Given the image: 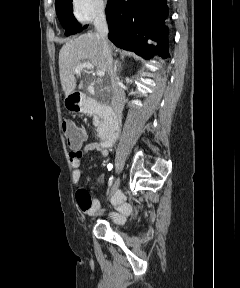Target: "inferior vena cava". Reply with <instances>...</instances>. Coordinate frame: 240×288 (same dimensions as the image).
Masks as SVG:
<instances>
[{"instance_id": "obj_1", "label": "inferior vena cava", "mask_w": 240, "mask_h": 288, "mask_svg": "<svg viewBox=\"0 0 240 288\" xmlns=\"http://www.w3.org/2000/svg\"><path fill=\"white\" fill-rule=\"evenodd\" d=\"M94 27L98 37L102 42L103 52L108 66V75L110 77L113 89V96H112L113 114L107 120V125H111L116 124L118 122V118L122 114L124 108L125 95L117 78V73L114 69L112 50L107 38L108 24L106 21L105 13L103 11L99 12L97 17L95 18Z\"/></svg>"}]
</instances>
